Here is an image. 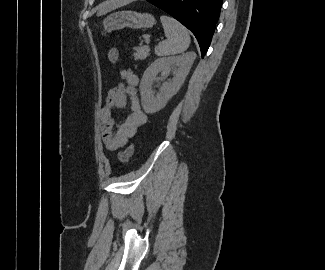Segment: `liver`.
Returning <instances> with one entry per match:
<instances>
[{
	"instance_id": "1",
	"label": "liver",
	"mask_w": 325,
	"mask_h": 270,
	"mask_svg": "<svg viewBox=\"0 0 325 270\" xmlns=\"http://www.w3.org/2000/svg\"><path fill=\"white\" fill-rule=\"evenodd\" d=\"M130 2V0H109L98 6L97 16L105 15L106 13L125 5Z\"/></svg>"
}]
</instances>
